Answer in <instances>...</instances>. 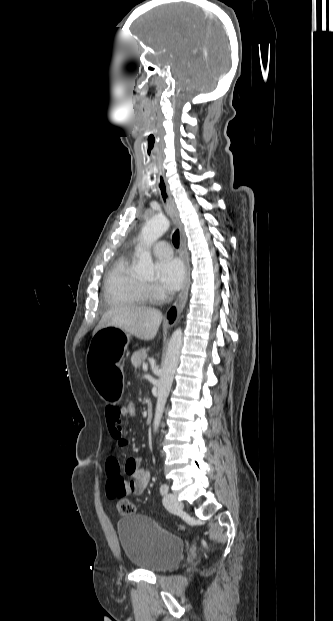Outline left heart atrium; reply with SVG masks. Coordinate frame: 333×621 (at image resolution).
<instances>
[{"label":"left heart atrium","mask_w":333,"mask_h":621,"mask_svg":"<svg viewBox=\"0 0 333 621\" xmlns=\"http://www.w3.org/2000/svg\"><path fill=\"white\" fill-rule=\"evenodd\" d=\"M158 284L165 291L180 289L185 280V268L178 259L163 260L157 265Z\"/></svg>","instance_id":"39dd6f15"}]
</instances>
